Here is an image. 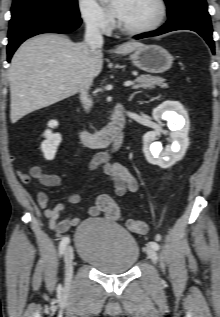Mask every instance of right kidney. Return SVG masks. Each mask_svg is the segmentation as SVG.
<instances>
[{"label":"right kidney","mask_w":220,"mask_h":317,"mask_svg":"<svg viewBox=\"0 0 220 317\" xmlns=\"http://www.w3.org/2000/svg\"><path fill=\"white\" fill-rule=\"evenodd\" d=\"M50 128H55L58 126V121L51 120L48 123ZM46 138L41 144V150L44 154L46 160H53L57 152V148L61 143L62 137L59 133H52L51 130H46L44 133Z\"/></svg>","instance_id":"ca27d5eb"}]
</instances>
